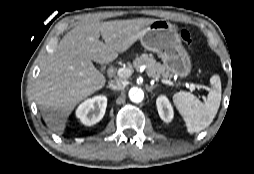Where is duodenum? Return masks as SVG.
<instances>
[{"mask_svg": "<svg viewBox=\"0 0 254 174\" xmlns=\"http://www.w3.org/2000/svg\"><path fill=\"white\" fill-rule=\"evenodd\" d=\"M110 75H112V71L110 70Z\"/></svg>", "mask_w": 254, "mask_h": 174, "instance_id": "duodenum-1", "label": "duodenum"}]
</instances>
